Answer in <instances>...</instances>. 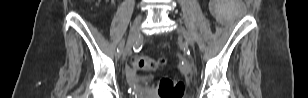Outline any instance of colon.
Wrapping results in <instances>:
<instances>
[{
    "label": "colon",
    "instance_id": "5ec220e1",
    "mask_svg": "<svg viewBox=\"0 0 308 98\" xmlns=\"http://www.w3.org/2000/svg\"><path fill=\"white\" fill-rule=\"evenodd\" d=\"M132 66L140 70H156L165 64L164 59H153L146 56H135L131 60ZM185 85L182 82H173L163 79L158 85L160 98H179L184 93Z\"/></svg>",
    "mask_w": 308,
    "mask_h": 98
}]
</instances>
